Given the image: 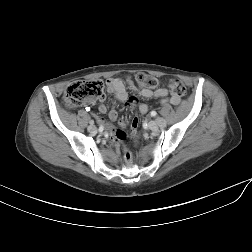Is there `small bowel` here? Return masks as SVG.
I'll use <instances>...</instances> for the list:
<instances>
[{
	"mask_svg": "<svg viewBox=\"0 0 252 252\" xmlns=\"http://www.w3.org/2000/svg\"><path fill=\"white\" fill-rule=\"evenodd\" d=\"M107 90L110 94H112L117 100L121 102H125L126 105L129 107H137L138 111L142 114H145L148 112V106L145 103L138 104V100L135 96H129L126 90V85L133 91H136L137 88L132 80L131 77H128L126 81L124 82L120 78H108L106 80ZM139 94L144 98H165L163 99V104L171 103L173 105H178L181 102V99L179 97H176L174 95H171L169 98H166L168 96V91L165 88H158L156 90H151L149 88H141L139 89ZM102 100V98H101ZM90 103L92 101H89ZM98 110L100 113H106L108 111L107 106L104 104H100L98 107ZM94 116L97 119V122L106 128L109 140L112 145H114L117 149L119 148L120 144H122L121 141H119L116 136L115 132L113 130V126L110 122H115L118 119V114L115 110H111L109 112V120L110 122H105L101 118L97 117V115L94 114ZM119 125L124 126L125 120L120 119Z\"/></svg>",
	"mask_w": 252,
	"mask_h": 252,
	"instance_id": "c3829d8e",
	"label": "small bowel"
}]
</instances>
